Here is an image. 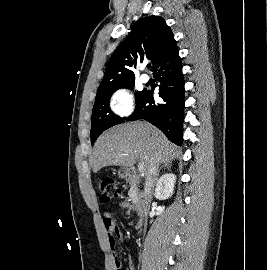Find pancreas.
Instances as JSON below:
<instances>
[{
    "label": "pancreas",
    "mask_w": 267,
    "mask_h": 270,
    "mask_svg": "<svg viewBox=\"0 0 267 270\" xmlns=\"http://www.w3.org/2000/svg\"><path fill=\"white\" fill-rule=\"evenodd\" d=\"M128 195H129L130 201H132L133 203H139L140 194L138 192L137 186L134 183L131 184V188L128 192Z\"/></svg>",
    "instance_id": "cf45deb5"
}]
</instances>
